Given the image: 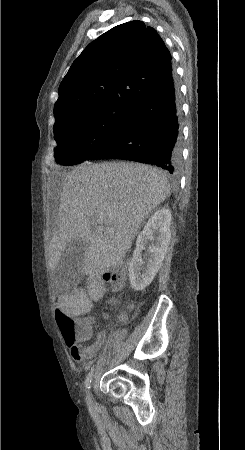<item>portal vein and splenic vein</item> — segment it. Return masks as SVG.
I'll return each mask as SVG.
<instances>
[{"label": "portal vein and splenic vein", "instance_id": "18ae733b", "mask_svg": "<svg viewBox=\"0 0 245 450\" xmlns=\"http://www.w3.org/2000/svg\"><path fill=\"white\" fill-rule=\"evenodd\" d=\"M95 229H96L98 232H104L105 234H108V235H113V234L115 233V229H114V228H111V227H105V226H103V225H96V226H95Z\"/></svg>", "mask_w": 245, "mask_h": 450}]
</instances>
